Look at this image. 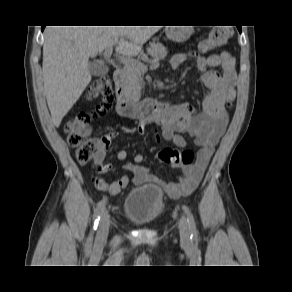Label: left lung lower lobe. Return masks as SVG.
Instances as JSON below:
<instances>
[{
	"label": "left lung lower lobe",
	"instance_id": "left-lung-lower-lobe-1",
	"mask_svg": "<svg viewBox=\"0 0 292 292\" xmlns=\"http://www.w3.org/2000/svg\"><path fill=\"white\" fill-rule=\"evenodd\" d=\"M238 30L241 32V27H238Z\"/></svg>",
	"mask_w": 292,
	"mask_h": 292
}]
</instances>
